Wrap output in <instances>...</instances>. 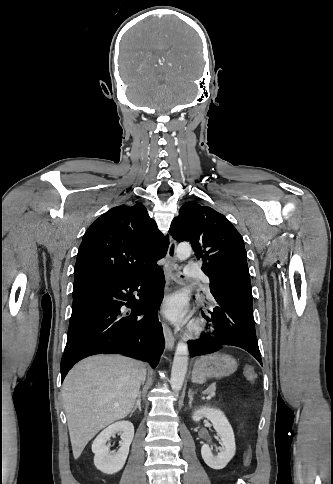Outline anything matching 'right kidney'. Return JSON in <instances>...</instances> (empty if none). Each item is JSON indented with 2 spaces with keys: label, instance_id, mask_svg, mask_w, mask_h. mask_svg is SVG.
I'll return each mask as SVG.
<instances>
[{
  "label": "right kidney",
  "instance_id": "ca27d5eb",
  "mask_svg": "<svg viewBox=\"0 0 333 484\" xmlns=\"http://www.w3.org/2000/svg\"><path fill=\"white\" fill-rule=\"evenodd\" d=\"M116 433L121 435V447L116 453H113L109 451L106 442ZM133 437L134 426L129 421L116 422L103 430L92 444L95 467L108 475L119 472L126 462Z\"/></svg>",
  "mask_w": 333,
  "mask_h": 484
}]
</instances>
